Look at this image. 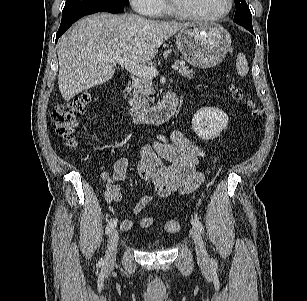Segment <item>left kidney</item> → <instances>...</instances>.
I'll list each match as a JSON object with an SVG mask.
<instances>
[{"label":"left kidney","mask_w":307,"mask_h":301,"mask_svg":"<svg viewBox=\"0 0 307 301\" xmlns=\"http://www.w3.org/2000/svg\"><path fill=\"white\" fill-rule=\"evenodd\" d=\"M228 125V116L221 109L204 107L192 118V128L203 140H212L220 135Z\"/></svg>","instance_id":"5707ae66"}]
</instances>
